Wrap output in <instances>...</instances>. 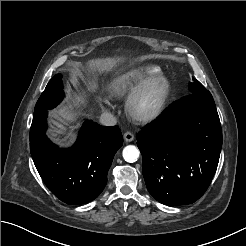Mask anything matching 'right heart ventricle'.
Returning <instances> with one entry per match:
<instances>
[{"mask_svg":"<svg viewBox=\"0 0 246 246\" xmlns=\"http://www.w3.org/2000/svg\"><path fill=\"white\" fill-rule=\"evenodd\" d=\"M159 73V67L153 65L130 69L119 74L110 82L108 92L113 97H123L130 94L145 80Z\"/></svg>","mask_w":246,"mask_h":246,"instance_id":"e07e8e85","label":"right heart ventricle"}]
</instances>
